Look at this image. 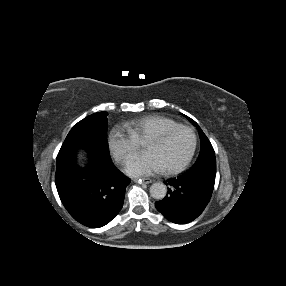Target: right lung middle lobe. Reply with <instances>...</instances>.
<instances>
[{
    "label": "right lung middle lobe",
    "mask_w": 286,
    "mask_h": 286,
    "mask_svg": "<svg viewBox=\"0 0 286 286\" xmlns=\"http://www.w3.org/2000/svg\"><path fill=\"white\" fill-rule=\"evenodd\" d=\"M107 115V112L94 113L75 124L67 135L59 154L71 153L77 148H85L90 152L109 156L106 141Z\"/></svg>",
    "instance_id": "1"
}]
</instances>
